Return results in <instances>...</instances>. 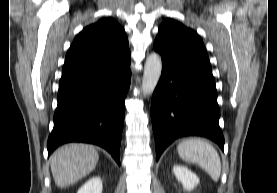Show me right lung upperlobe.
Listing matches in <instances>:
<instances>
[{"instance_id":"1","label":"right lung upper lobe","mask_w":277,"mask_h":193,"mask_svg":"<svg viewBox=\"0 0 277 193\" xmlns=\"http://www.w3.org/2000/svg\"><path fill=\"white\" fill-rule=\"evenodd\" d=\"M128 54L124 29L113 18H102L75 37L66 54L62 78L107 67Z\"/></svg>"}]
</instances>
